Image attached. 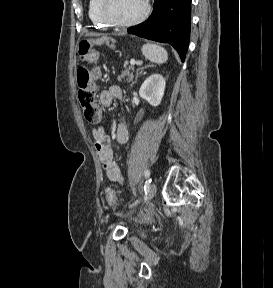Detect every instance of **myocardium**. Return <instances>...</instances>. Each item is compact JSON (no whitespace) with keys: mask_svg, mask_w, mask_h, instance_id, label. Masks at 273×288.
Masks as SVG:
<instances>
[{"mask_svg":"<svg viewBox=\"0 0 273 288\" xmlns=\"http://www.w3.org/2000/svg\"><path fill=\"white\" fill-rule=\"evenodd\" d=\"M143 2H144V9H143V12L139 16L129 21H116L112 19L107 13V5L109 3V0H101L100 6H99L100 16L108 26L118 27V28L131 27V26H134L143 22L149 14L150 5H149L148 0H143Z\"/></svg>","mask_w":273,"mask_h":288,"instance_id":"obj_1","label":"myocardium"}]
</instances>
